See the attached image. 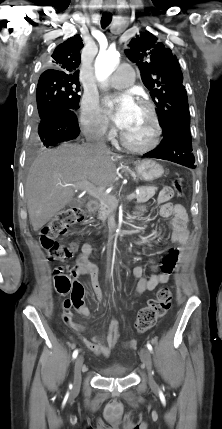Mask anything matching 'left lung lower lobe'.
Listing matches in <instances>:
<instances>
[{"label": "left lung lower lobe", "mask_w": 222, "mask_h": 429, "mask_svg": "<svg viewBox=\"0 0 222 429\" xmlns=\"http://www.w3.org/2000/svg\"><path fill=\"white\" fill-rule=\"evenodd\" d=\"M164 138L157 148L144 156L169 160L188 168L196 166L192 153L190 127L176 126L163 133Z\"/></svg>", "instance_id": "0a47b994"}]
</instances>
